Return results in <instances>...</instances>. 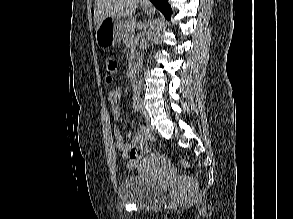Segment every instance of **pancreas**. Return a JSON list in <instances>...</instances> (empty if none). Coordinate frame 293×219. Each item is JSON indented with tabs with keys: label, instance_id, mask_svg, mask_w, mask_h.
Listing matches in <instances>:
<instances>
[{
	"label": "pancreas",
	"instance_id": "cf45deb5",
	"mask_svg": "<svg viewBox=\"0 0 293 219\" xmlns=\"http://www.w3.org/2000/svg\"><path fill=\"white\" fill-rule=\"evenodd\" d=\"M134 24H135V18H129L127 21L124 23V31L122 38L124 40H128L131 36L134 34Z\"/></svg>",
	"mask_w": 293,
	"mask_h": 219
}]
</instances>
